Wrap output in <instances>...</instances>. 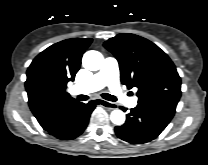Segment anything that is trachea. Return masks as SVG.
Returning <instances> with one entry per match:
<instances>
[{
  "label": "trachea",
  "mask_w": 208,
  "mask_h": 165,
  "mask_svg": "<svg viewBox=\"0 0 208 165\" xmlns=\"http://www.w3.org/2000/svg\"><path fill=\"white\" fill-rule=\"evenodd\" d=\"M102 97H103L104 99H106V100H109V101H117V98H116V97H114L113 95H110V94H108V93H103V94H102ZM79 99H80L81 101H84V100H87V99H88V96H86V95H80V96H79Z\"/></svg>",
  "instance_id": "3493384b"
}]
</instances>
